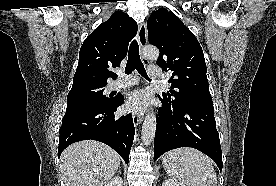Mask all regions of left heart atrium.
<instances>
[{"label": "left heart atrium", "mask_w": 276, "mask_h": 186, "mask_svg": "<svg viewBox=\"0 0 276 186\" xmlns=\"http://www.w3.org/2000/svg\"><path fill=\"white\" fill-rule=\"evenodd\" d=\"M149 102V97L144 91H137L128 97L126 108L132 112H141L143 111Z\"/></svg>", "instance_id": "obj_1"}]
</instances>
